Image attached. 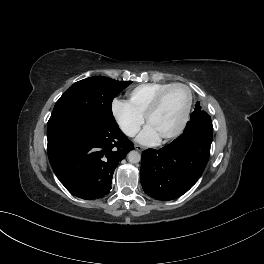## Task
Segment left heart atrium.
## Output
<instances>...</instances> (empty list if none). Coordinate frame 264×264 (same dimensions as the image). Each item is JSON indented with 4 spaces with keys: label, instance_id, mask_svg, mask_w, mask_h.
Segmentation results:
<instances>
[{
    "label": "left heart atrium",
    "instance_id": "left-heart-atrium-1",
    "mask_svg": "<svg viewBox=\"0 0 264 264\" xmlns=\"http://www.w3.org/2000/svg\"><path fill=\"white\" fill-rule=\"evenodd\" d=\"M160 136L157 132L150 126L147 125L139 134L137 140L146 145H152L158 142Z\"/></svg>",
    "mask_w": 264,
    "mask_h": 264
}]
</instances>
